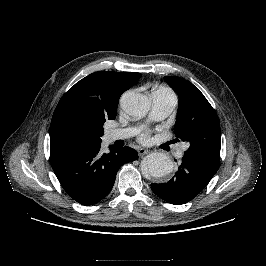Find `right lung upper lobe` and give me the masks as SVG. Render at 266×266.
I'll return each instance as SVG.
<instances>
[{
	"label": "right lung upper lobe",
	"mask_w": 266,
	"mask_h": 266,
	"mask_svg": "<svg viewBox=\"0 0 266 266\" xmlns=\"http://www.w3.org/2000/svg\"><path fill=\"white\" fill-rule=\"evenodd\" d=\"M140 73L99 71L71 87L60 99L50 125V148L86 144L98 136L101 122L115 119L121 94Z\"/></svg>",
	"instance_id": "obj_1"
}]
</instances>
